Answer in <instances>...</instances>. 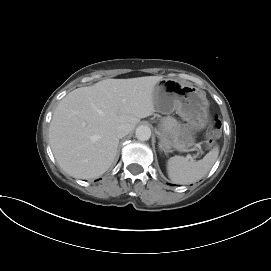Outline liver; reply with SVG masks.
I'll return each instance as SVG.
<instances>
[{
	"label": "liver",
	"instance_id": "1",
	"mask_svg": "<svg viewBox=\"0 0 271 271\" xmlns=\"http://www.w3.org/2000/svg\"><path fill=\"white\" fill-rule=\"evenodd\" d=\"M160 76L106 79L67 94L56 107L49 142L62 170L90 179L112 165L119 143L116 129L155 112L153 91Z\"/></svg>",
	"mask_w": 271,
	"mask_h": 271
}]
</instances>
